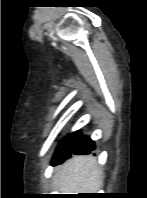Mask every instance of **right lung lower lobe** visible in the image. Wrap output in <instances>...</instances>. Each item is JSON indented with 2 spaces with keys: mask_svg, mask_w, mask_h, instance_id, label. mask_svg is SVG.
Instances as JSON below:
<instances>
[{
  "mask_svg": "<svg viewBox=\"0 0 147 198\" xmlns=\"http://www.w3.org/2000/svg\"><path fill=\"white\" fill-rule=\"evenodd\" d=\"M95 149L94 142L89 138L80 134L79 131L69 134L65 139L62 140L58 146L52 162L62 163L66 159L70 158L71 155H84L89 154Z\"/></svg>",
  "mask_w": 147,
  "mask_h": 198,
  "instance_id": "98d812e1",
  "label": "right lung lower lobe"
}]
</instances>
